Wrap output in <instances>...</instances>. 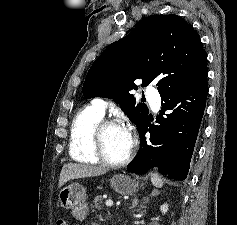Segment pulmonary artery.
Returning <instances> with one entry per match:
<instances>
[{"label":"pulmonary artery","instance_id":"pulmonary-artery-1","mask_svg":"<svg viewBox=\"0 0 237 225\" xmlns=\"http://www.w3.org/2000/svg\"><path fill=\"white\" fill-rule=\"evenodd\" d=\"M146 97L148 101L152 104L155 109H158L160 105V98L156 90L151 87L146 88ZM95 105L98 109L104 114L106 108V102L102 98H98L95 100Z\"/></svg>","mask_w":237,"mask_h":225}]
</instances>
